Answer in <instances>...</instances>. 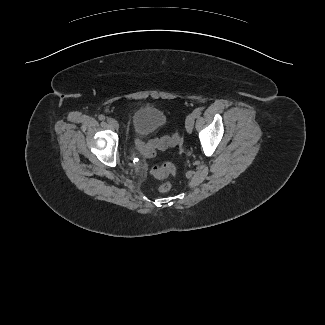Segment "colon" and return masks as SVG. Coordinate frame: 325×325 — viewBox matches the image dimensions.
Returning <instances> with one entry per match:
<instances>
[{
	"instance_id": "5ec220e1",
	"label": "colon",
	"mask_w": 325,
	"mask_h": 325,
	"mask_svg": "<svg viewBox=\"0 0 325 325\" xmlns=\"http://www.w3.org/2000/svg\"><path fill=\"white\" fill-rule=\"evenodd\" d=\"M180 140V134L175 131L171 136H165L160 139L152 140L145 149L146 158H152L155 156L157 150L166 149L171 146H175ZM176 167L172 163H164L154 166L151 169V173L158 179H167L176 175ZM172 188L171 181L167 180L161 183L158 190L162 193L168 192Z\"/></svg>"
}]
</instances>
